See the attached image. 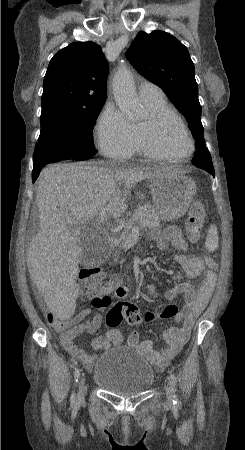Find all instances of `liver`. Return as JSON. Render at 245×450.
<instances>
[{"label":"liver","instance_id":"obj_1","mask_svg":"<svg viewBox=\"0 0 245 450\" xmlns=\"http://www.w3.org/2000/svg\"><path fill=\"white\" fill-rule=\"evenodd\" d=\"M166 171L170 170L58 163L40 173L36 189L40 228L28 247L27 266L57 317L68 318L75 311L81 229L101 208L120 217L127 210L130 189Z\"/></svg>","mask_w":245,"mask_h":450}]
</instances>
